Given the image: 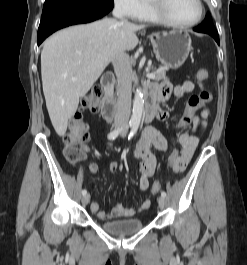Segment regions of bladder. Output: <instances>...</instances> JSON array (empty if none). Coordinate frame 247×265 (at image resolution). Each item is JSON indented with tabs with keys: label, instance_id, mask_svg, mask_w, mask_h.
Returning <instances> with one entry per match:
<instances>
[{
	"label": "bladder",
	"instance_id": "1",
	"mask_svg": "<svg viewBox=\"0 0 247 265\" xmlns=\"http://www.w3.org/2000/svg\"><path fill=\"white\" fill-rule=\"evenodd\" d=\"M141 219H121L107 221L101 224V228L116 237H125L134 234L143 228Z\"/></svg>",
	"mask_w": 247,
	"mask_h": 265
}]
</instances>
